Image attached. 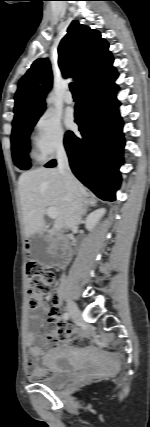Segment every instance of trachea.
I'll return each mask as SVG.
<instances>
[{"instance_id": "trachea-1", "label": "trachea", "mask_w": 150, "mask_h": 427, "mask_svg": "<svg viewBox=\"0 0 150 427\" xmlns=\"http://www.w3.org/2000/svg\"><path fill=\"white\" fill-rule=\"evenodd\" d=\"M70 90L72 94L77 95V86L74 82L70 83Z\"/></svg>"}]
</instances>
